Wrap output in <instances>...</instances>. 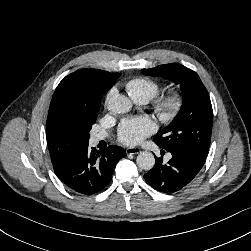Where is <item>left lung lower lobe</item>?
Listing matches in <instances>:
<instances>
[{
	"label": "left lung lower lobe",
	"mask_w": 251,
	"mask_h": 251,
	"mask_svg": "<svg viewBox=\"0 0 251 251\" xmlns=\"http://www.w3.org/2000/svg\"><path fill=\"white\" fill-rule=\"evenodd\" d=\"M167 151L172 154L169 162L164 164L162 158H156L154 167L144 178L154 189L174 193L186 187L196 177L206 156L185 147Z\"/></svg>",
	"instance_id": "1"
}]
</instances>
